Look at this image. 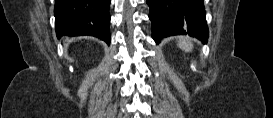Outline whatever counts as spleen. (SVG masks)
<instances>
[{
	"mask_svg": "<svg viewBox=\"0 0 273 118\" xmlns=\"http://www.w3.org/2000/svg\"><path fill=\"white\" fill-rule=\"evenodd\" d=\"M178 47L185 52H190L193 49L192 43L187 38H181L178 42Z\"/></svg>",
	"mask_w": 273,
	"mask_h": 118,
	"instance_id": "spleen-1",
	"label": "spleen"
}]
</instances>
